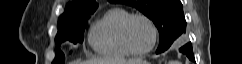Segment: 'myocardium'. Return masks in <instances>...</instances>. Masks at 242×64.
<instances>
[{"label": "myocardium", "mask_w": 242, "mask_h": 64, "mask_svg": "<svg viewBox=\"0 0 242 64\" xmlns=\"http://www.w3.org/2000/svg\"><path fill=\"white\" fill-rule=\"evenodd\" d=\"M136 18H141V19L145 20L149 24V26L152 30V34H153V41H152L151 46L148 49L143 50V51L135 50L131 46L129 39H128V29H129L130 23ZM120 37H121V41H122V44L124 45L125 49L131 55L144 56V55L151 53L155 49V47L157 45V41H158V29H157V26L155 25V23L153 22V20L149 16L142 14V13H133V14H130L124 20L122 27H121V31H120Z\"/></svg>", "instance_id": "myocardium-1"}]
</instances>
